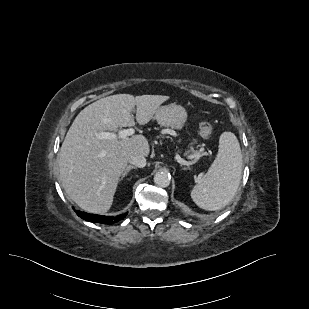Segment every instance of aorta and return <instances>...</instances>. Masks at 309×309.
Masks as SVG:
<instances>
[{"instance_id":"obj_1","label":"aorta","mask_w":309,"mask_h":309,"mask_svg":"<svg viewBox=\"0 0 309 309\" xmlns=\"http://www.w3.org/2000/svg\"><path fill=\"white\" fill-rule=\"evenodd\" d=\"M171 177L167 172H157L154 176V183L159 187H168Z\"/></svg>"}]
</instances>
